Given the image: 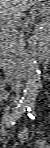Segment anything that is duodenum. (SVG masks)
<instances>
[{"instance_id": "duodenum-1", "label": "duodenum", "mask_w": 50, "mask_h": 148, "mask_svg": "<svg viewBox=\"0 0 50 148\" xmlns=\"http://www.w3.org/2000/svg\"><path fill=\"white\" fill-rule=\"evenodd\" d=\"M48 55L47 54H42L38 60L39 62L43 63L46 62L48 60ZM23 63H25L26 65H32V60H30L29 58H24ZM13 81L17 87H22L23 85L21 84V76H11L9 77V79L7 80V82Z\"/></svg>"}]
</instances>
